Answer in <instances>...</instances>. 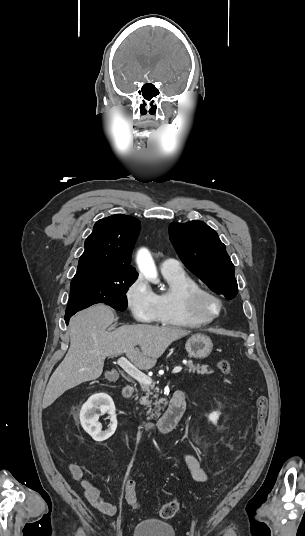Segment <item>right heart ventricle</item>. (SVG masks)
<instances>
[{
    "mask_svg": "<svg viewBox=\"0 0 305 536\" xmlns=\"http://www.w3.org/2000/svg\"><path fill=\"white\" fill-rule=\"evenodd\" d=\"M169 284V289L157 294V322L162 326L195 327L198 321L187 316L182 306V296L200 284L183 269L177 271H162Z\"/></svg>",
    "mask_w": 305,
    "mask_h": 536,
    "instance_id": "obj_1",
    "label": "right heart ventricle"
}]
</instances>
